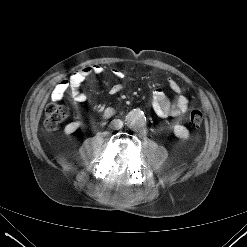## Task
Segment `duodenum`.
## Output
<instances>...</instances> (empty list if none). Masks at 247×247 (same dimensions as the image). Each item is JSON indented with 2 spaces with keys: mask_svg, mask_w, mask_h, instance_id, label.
<instances>
[{
  "mask_svg": "<svg viewBox=\"0 0 247 247\" xmlns=\"http://www.w3.org/2000/svg\"><path fill=\"white\" fill-rule=\"evenodd\" d=\"M112 113V110L111 109H107L106 110V114L110 115Z\"/></svg>",
  "mask_w": 247,
  "mask_h": 247,
  "instance_id": "1",
  "label": "duodenum"
}]
</instances>
